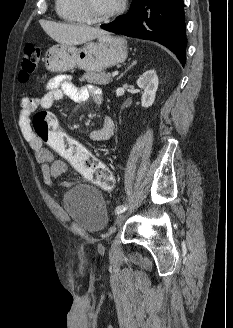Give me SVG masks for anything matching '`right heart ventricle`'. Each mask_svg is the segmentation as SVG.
<instances>
[{"instance_id":"1","label":"right heart ventricle","mask_w":233,"mask_h":328,"mask_svg":"<svg viewBox=\"0 0 233 328\" xmlns=\"http://www.w3.org/2000/svg\"><path fill=\"white\" fill-rule=\"evenodd\" d=\"M58 16L71 23L86 22L78 0H55Z\"/></svg>"}]
</instances>
